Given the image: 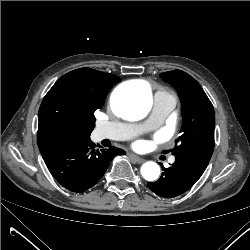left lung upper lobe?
Wrapping results in <instances>:
<instances>
[{
    "mask_svg": "<svg viewBox=\"0 0 250 250\" xmlns=\"http://www.w3.org/2000/svg\"><path fill=\"white\" fill-rule=\"evenodd\" d=\"M160 77L174 86L182 104V135L176 139L172 154L192 148L214 147V108L199 83L181 70L165 72Z\"/></svg>",
    "mask_w": 250,
    "mask_h": 250,
    "instance_id": "obj_1",
    "label": "left lung upper lobe"
}]
</instances>
